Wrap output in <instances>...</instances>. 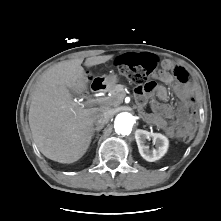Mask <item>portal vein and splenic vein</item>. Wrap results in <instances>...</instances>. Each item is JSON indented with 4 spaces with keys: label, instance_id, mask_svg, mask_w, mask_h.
Listing matches in <instances>:
<instances>
[{
    "label": "portal vein and splenic vein",
    "instance_id": "1",
    "mask_svg": "<svg viewBox=\"0 0 221 221\" xmlns=\"http://www.w3.org/2000/svg\"><path fill=\"white\" fill-rule=\"evenodd\" d=\"M100 101H102V100L101 99H96V100L92 99V100H89L88 103L92 104V103H97V102H100Z\"/></svg>",
    "mask_w": 221,
    "mask_h": 221
}]
</instances>
